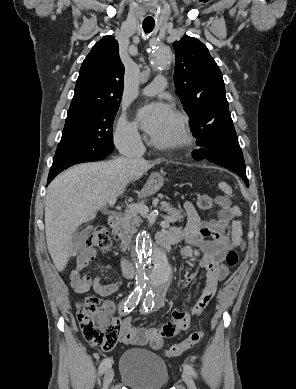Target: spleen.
I'll use <instances>...</instances> for the list:
<instances>
[{
	"label": "spleen",
	"instance_id": "spleen-1",
	"mask_svg": "<svg viewBox=\"0 0 296 389\" xmlns=\"http://www.w3.org/2000/svg\"><path fill=\"white\" fill-rule=\"evenodd\" d=\"M218 187L227 195L232 194V188L225 182H221L218 184ZM234 213L236 215H241V212L238 207L234 208ZM232 241L234 245H239L241 242V236L243 234L242 232V226L241 222L239 221H233L232 222Z\"/></svg>",
	"mask_w": 296,
	"mask_h": 389
}]
</instances>
